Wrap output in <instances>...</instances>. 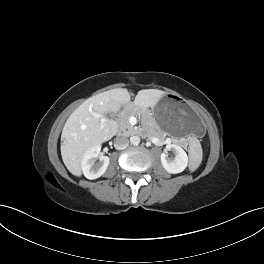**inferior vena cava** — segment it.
<instances>
[{
  "mask_svg": "<svg viewBox=\"0 0 264 264\" xmlns=\"http://www.w3.org/2000/svg\"><path fill=\"white\" fill-rule=\"evenodd\" d=\"M128 144H129V140L125 136H117L114 139V147L118 150L125 149L128 146Z\"/></svg>",
  "mask_w": 264,
  "mask_h": 264,
  "instance_id": "obj_1",
  "label": "inferior vena cava"
}]
</instances>
